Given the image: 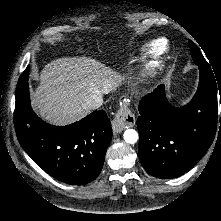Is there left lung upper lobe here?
<instances>
[{
  "mask_svg": "<svg viewBox=\"0 0 221 221\" xmlns=\"http://www.w3.org/2000/svg\"><path fill=\"white\" fill-rule=\"evenodd\" d=\"M189 47L191 50L192 59L197 65L210 66L200 52L199 48L192 41L189 42Z\"/></svg>",
  "mask_w": 221,
  "mask_h": 221,
  "instance_id": "obj_1",
  "label": "left lung upper lobe"
}]
</instances>
